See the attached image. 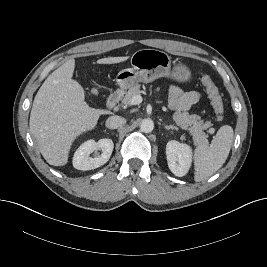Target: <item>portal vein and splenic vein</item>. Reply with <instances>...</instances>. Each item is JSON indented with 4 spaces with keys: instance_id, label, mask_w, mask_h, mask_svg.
Instances as JSON below:
<instances>
[{
    "instance_id": "18ae733b",
    "label": "portal vein and splenic vein",
    "mask_w": 267,
    "mask_h": 267,
    "mask_svg": "<svg viewBox=\"0 0 267 267\" xmlns=\"http://www.w3.org/2000/svg\"><path fill=\"white\" fill-rule=\"evenodd\" d=\"M142 102V96L141 95H136L132 98L131 105H137Z\"/></svg>"
}]
</instances>
